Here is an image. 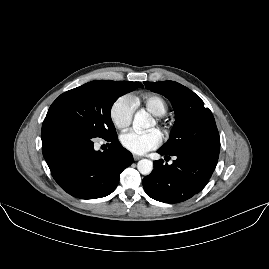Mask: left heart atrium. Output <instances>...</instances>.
Here are the masks:
<instances>
[{"mask_svg":"<svg viewBox=\"0 0 269 269\" xmlns=\"http://www.w3.org/2000/svg\"><path fill=\"white\" fill-rule=\"evenodd\" d=\"M121 146L134 154H144L162 143L161 133L154 129L147 133L126 131L120 135Z\"/></svg>","mask_w":269,"mask_h":269,"instance_id":"39dd6f15","label":"left heart atrium"}]
</instances>
